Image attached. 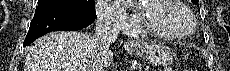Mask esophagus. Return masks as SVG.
Masks as SVG:
<instances>
[{"mask_svg":"<svg viewBox=\"0 0 230 71\" xmlns=\"http://www.w3.org/2000/svg\"><path fill=\"white\" fill-rule=\"evenodd\" d=\"M129 45L132 46V47H135V46H139L140 44L137 43V42H134V41H130Z\"/></svg>","mask_w":230,"mask_h":71,"instance_id":"obj_1","label":"esophagus"}]
</instances>
